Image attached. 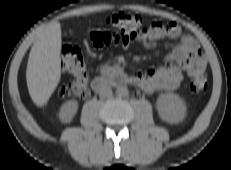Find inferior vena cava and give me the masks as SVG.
<instances>
[{"instance_id":"602c4592","label":"inferior vena cava","mask_w":231,"mask_h":170,"mask_svg":"<svg viewBox=\"0 0 231 170\" xmlns=\"http://www.w3.org/2000/svg\"><path fill=\"white\" fill-rule=\"evenodd\" d=\"M112 95V89L109 86H103L99 91V96L102 98L110 97Z\"/></svg>"}]
</instances>
